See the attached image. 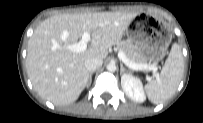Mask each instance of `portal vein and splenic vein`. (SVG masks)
Segmentation results:
<instances>
[{
    "mask_svg": "<svg viewBox=\"0 0 203 123\" xmlns=\"http://www.w3.org/2000/svg\"><path fill=\"white\" fill-rule=\"evenodd\" d=\"M90 41V34L88 32H84L82 35L81 40L73 44L70 49L73 50L74 52H83L87 49V44ZM118 58L130 69L132 70H152L156 75H157V67L155 65H148V64H138L130 61L126 55L119 51L118 52Z\"/></svg>",
    "mask_w": 203,
    "mask_h": 123,
    "instance_id": "1",
    "label": "portal vein and splenic vein"
}]
</instances>
